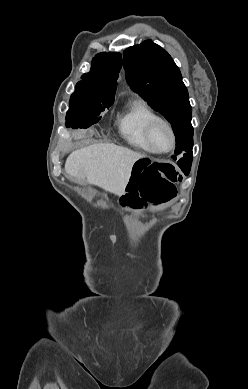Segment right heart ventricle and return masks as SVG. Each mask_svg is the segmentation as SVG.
I'll return each mask as SVG.
<instances>
[{
  "label": "right heart ventricle",
  "mask_w": 248,
  "mask_h": 389,
  "mask_svg": "<svg viewBox=\"0 0 248 389\" xmlns=\"http://www.w3.org/2000/svg\"><path fill=\"white\" fill-rule=\"evenodd\" d=\"M158 117L149 105L141 100L130 101L117 119V127L122 138L131 146L149 151L144 132L147 124Z\"/></svg>",
  "instance_id": "right-heart-ventricle-1"
}]
</instances>
